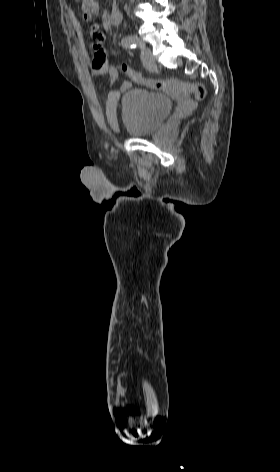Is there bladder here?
<instances>
[{
  "mask_svg": "<svg viewBox=\"0 0 280 472\" xmlns=\"http://www.w3.org/2000/svg\"><path fill=\"white\" fill-rule=\"evenodd\" d=\"M174 102L164 94L132 88L120 99V111L127 134L132 138L156 132L170 116Z\"/></svg>",
  "mask_w": 280,
  "mask_h": 472,
  "instance_id": "1",
  "label": "bladder"
}]
</instances>
